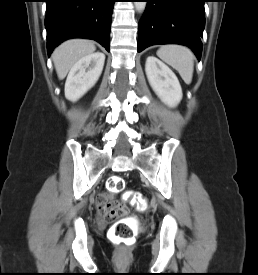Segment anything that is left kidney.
<instances>
[{"label": "left kidney", "instance_id": "left-kidney-1", "mask_svg": "<svg viewBox=\"0 0 258 275\" xmlns=\"http://www.w3.org/2000/svg\"><path fill=\"white\" fill-rule=\"evenodd\" d=\"M148 81L158 97L168 106L175 107L182 99V89L174 72L162 61L149 56L145 64Z\"/></svg>", "mask_w": 258, "mask_h": 275}]
</instances>
